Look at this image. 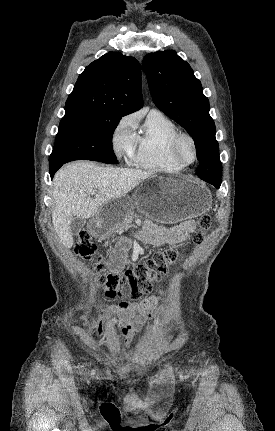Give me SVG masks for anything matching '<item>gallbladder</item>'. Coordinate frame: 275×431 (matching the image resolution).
Returning <instances> with one entry per match:
<instances>
[{
	"label": "gallbladder",
	"mask_w": 275,
	"mask_h": 431,
	"mask_svg": "<svg viewBox=\"0 0 275 431\" xmlns=\"http://www.w3.org/2000/svg\"><path fill=\"white\" fill-rule=\"evenodd\" d=\"M85 224H86L85 218L74 216L69 227L70 233L72 235H78Z\"/></svg>",
	"instance_id": "1"
}]
</instances>
